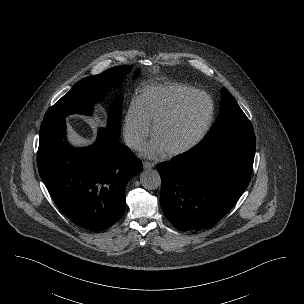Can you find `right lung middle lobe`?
Here are the masks:
<instances>
[{
    "label": "right lung middle lobe",
    "mask_w": 304,
    "mask_h": 304,
    "mask_svg": "<svg viewBox=\"0 0 304 304\" xmlns=\"http://www.w3.org/2000/svg\"><path fill=\"white\" fill-rule=\"evenodd\" d=\"M131 70V66H117L99 74L89 76L76 83L56 104L46 112L42 124L64 119L69 114H89L111 85L121 82L122 77ZM139 73L136 71L134 77ZM123 97L118 96L109 112L107 128L117 137L121 132V107Z\"/></svg>",
    "instance_id": "right-lung-middle-lobe-1"
}]
</instances>
